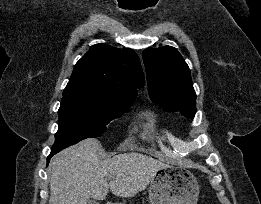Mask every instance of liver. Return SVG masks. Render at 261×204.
<instances>
[{"label":"liver","mask_w":261,"mask_h":204,"mask_svg":"<svg viewBox=\"0 0 261 204\" xmlns=\"http://www.w3.org/2000/svg\"><path fill=\"white\" fill-rule=\"evenodd\" d=\"M97 139H85L55 155L51 161L49 204H87L105 199L109 189L120 197L144 190L165 163L131 152L101 158ZM114 177L108 184V179Z\"/></svg>","instance_id":"liver-1"}]
</instances>
